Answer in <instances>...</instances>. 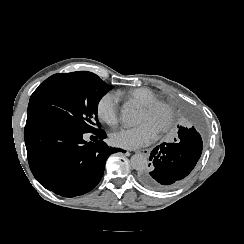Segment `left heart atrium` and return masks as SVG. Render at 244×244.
Masks as SVG:
<instances>
[{
    "label": "left heart atrium",
    "mask_w": 244,
    "mask_h": 244,
    "mask_svg": "<svg viewBox=\"0 0 244 244\" xmlns=\"http://www.w3.org/2000/svg\"><path fill=\"white\" fill-rule=\"evenodd\" d=\"M158 132L147 123L131 129H123L112 134L111 141L115 146L126 149H137L152 144Z\"/></svg>",
    "instance_id": "1"
}]
</instances>
